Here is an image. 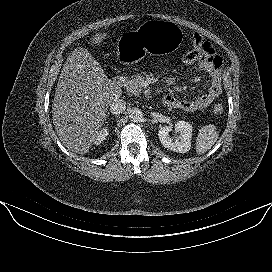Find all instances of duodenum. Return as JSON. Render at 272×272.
Returning a JSON list of instances; mask_svg holds the SVG:
<instances>
[{
    "instance_id": "duodenum-1",
    "label": "duodenum",
    "mask_w": 272,
    "mask_h": 272,
    "mask_svg": "<svg viewBox=\"0 0 272 272\" xmlns=\"http://www.w3.org/2000/svg\"><path fill=\"white\" fill-rule=\"evenodd\" d=\"M124 81H125V78H124V76H122V75H117V76L115 77V79H114V82H115V84H117V85H122V84L124 83ZM163 102H165V99H163Z\"/></svg>"
}]
</instances>
